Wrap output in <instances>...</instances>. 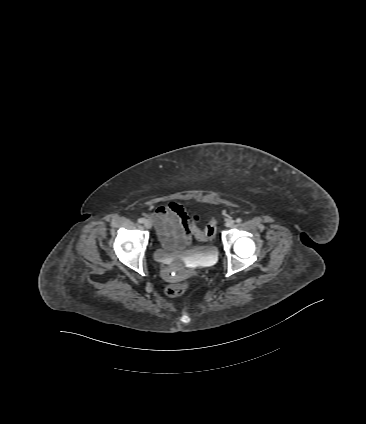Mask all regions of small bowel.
Returning a JSON list of instances; mask_svg holds the SVG:
<instances>
[{"mask_svg": "<svg viewBox=\"0 0 366 424\" xmlns=\"http://www.w3.org/2000/svg\"><path fill=\"white\" fill-rule=\"evenodd\" d=\"M148 217L155 224L164 246L173 248L188 244L189 234L185 225L187 214L179 203L171 201L166 205L158 206Z\"/></svg>", "mask_w": 366, "mask_h": 424, "instance_id": "small-bowel-1", "label": "small bowel"}]
</instances>
